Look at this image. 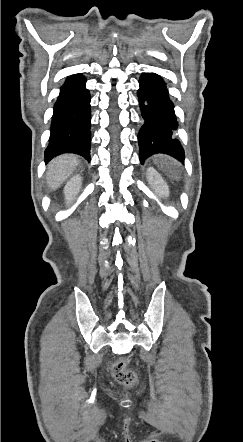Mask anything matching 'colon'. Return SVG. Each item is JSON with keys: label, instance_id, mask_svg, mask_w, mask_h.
Masks as SVG:
<instances>
[{"label": "colon", "instance_id": "5ec220e1", "mask_svg": "<svg viewBox=\"0 0 243 442\" xmlns=\"http://www.w3.org/2000/svg\"><path fill=\"white\" fill-rule=\"evenodd\" d=\"M112 374L119 383L127 387H131L137 382L135 373L127 368L125 357H120L114 362L112 366Z\"/></svg>", "mask_w": 243, "mask_h": 442}]
</instances>
